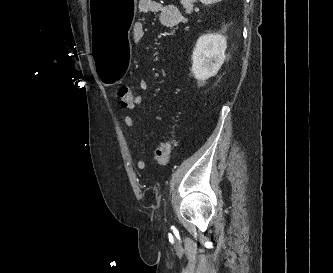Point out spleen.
<instances>
[{
	"label": "spleen",
	"instance_id": "1",
	"mask_svg": "<svg viewBox=\"0 0 333 273\" xmlns=\"http://www.w3.org/2000/svg\"><path fill=\"white\" fill-rule=\"evenodd\" d=\"M200 1L205 5H209V4H213L216 2H220L221 0H200Z\"/></svg>",
	"mask_w": 333,
	"mask_h": 273
}]
</instances>
